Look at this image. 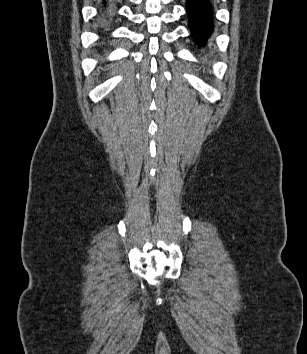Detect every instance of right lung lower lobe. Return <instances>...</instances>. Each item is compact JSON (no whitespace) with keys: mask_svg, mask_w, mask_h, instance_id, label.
I'll list each match as a JSON object with an SVG mask.
<instances>
[{"mask_svg":"<svg viewBox=\"0 0 307 354\" xmlns=\"http://www.w3.org/2000/svg\"><path fill=\"white\" fill-rule=\"evenodd\" d=\"M109 7H110L109 0H102L101 9H102V18L103 19L109 15Z\"/></svg>","mask_w":307,"mask_h":354,"instance_id":"obj_1","label":"right lung lower lobe"}]
</instances>
